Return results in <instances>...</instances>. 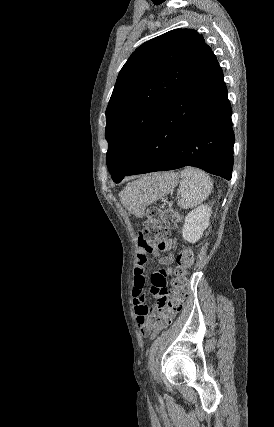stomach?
Masks as SVG:
<instances>
[{
    "label": "stomach",
    "instance_id": "obj_1",
    "mask_svg": "<svg viewBox=\"0 0 274 427\" xmlns=\"http://www.w3.org/2000/svg\"><path fill=\"white\" fill-rule=\"evenodd\" d=\"M142 180L152 182L150 190H145V188H138V190H136L137 184L133 182V184H128L127 188H125L124 192L121 194V200L124 206H126L125 198H129L130 206H126V208L131 214H143L146 206L155 202L158 196L171 192L178 184V174H174V172L150 174V176H145ZM153 182L155 186H153ZM153 190H155V192H153ZM148 194H152L153 198H151V200H146Z\"/></svg>",
    "mask_w": 274,
    "mask_h": 427
}]
</instances>
